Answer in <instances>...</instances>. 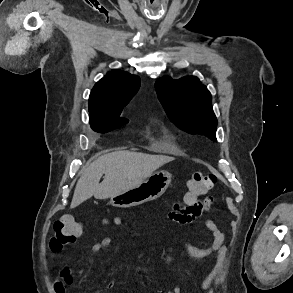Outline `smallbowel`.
<instances>
[{
	"label": "small bowel",
	"mask_w": 293,
	"mask_h": 293,
	"mask_svg": "<svg viewBox=\"0 0 293 293\" xmlns=\"http://www.w3.org/2000/svg\"><path fill=\"white\" fill-rule=\"evenodd\" d=\"M211 198L205 199L203 202H198L190 208H186L183 204L176 203L173 210L169 212L168 218L171 221L186 224L194 221L203 210H208L211 206ZM205 226L209 229L213 236V242L208 247H198L192 244L190 241L185 243V248L190 257L194 259H204L211 255H216L217 265L213 269L212 273L206 277L202 282L201 288H206L211 280L217 275L220 267V263L225 257L226 247L224 245V240L226 234L211 220H206L204 222ZM83 233V232H82ZM80 234V236L82 235ZM112 245V239L110 237H104L100 241L94 243L91 246V252L94 254L100 253L107 250ZM73 282L72 271L63 267L59 271V276L53 282V288L55 293H66V286L71 285ZM114 286L113 282L108 283V287L112 288ZM165 293H182V289L179 286H175Z\"/></svg>",
	"instance_id": "1"
}]
</instances>
